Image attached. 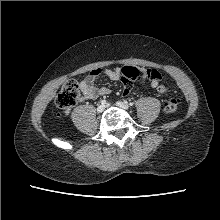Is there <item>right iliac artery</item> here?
<instances>
[{"mask_svg":"<svg viewBox=\"0 0 220 220\" xmlns=\"http://www.w3.org/2000/svg\"><path fill=\"white\" fill-rule=\"evenodd\" d=\"M101 104H106V100H101Z\"/></svg>","mask_w":220,"mask_h":220,"instance_id":"right-iliac-artery-1","label":"right iliac artery"}]
</instances>
